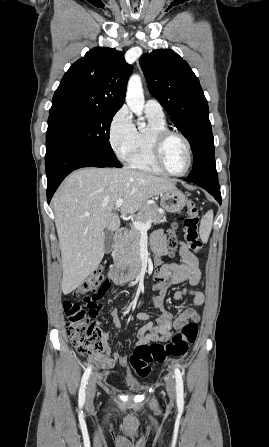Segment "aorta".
I'll return each mask as SVG.
<instances>
[{
    "label": "aorta",
    "mask_w": 269,
    "mask_h": 447,
    "mask_svg": "<svg viewBox=\"0 0 269 447\" xmlns=\"http://www.w3.org/2000/svg\"><path fill=\"white\" fill-rule=\"evenodd\" d=\"M126 104L129 106L131 112L138 116V120H142L139 122L138 128L139 130H145L146 124L144 122L145 118H142L143 110H144V94L142 88V82L140 76L134 74L131 76L128 82V88L126 92Z\"/></svg>",
    "instance_id": "obj_1"
}]
</instances>
